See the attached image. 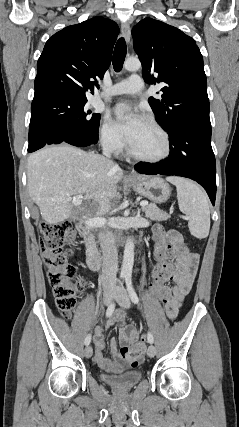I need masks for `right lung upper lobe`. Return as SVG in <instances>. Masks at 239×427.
Instances as JSON below:
<instances>
[{
  "label": "right lung upper lobe",
  "instance_id": "1",
  "mask_svg": "<svg viewBox=\"0 0 239 427\" xmlns=\"http://www.w3.org/2000/svg\"><path fill=\"white\" fill-rule=\"evenodd\" d=\"M118 25L94 17L68 26L48 39L37 62L34 99L68 96L87 99L111 63Z\"/></svg>",
  "mask_w": 239,
  "mask_h": 427
}]
</instances>
